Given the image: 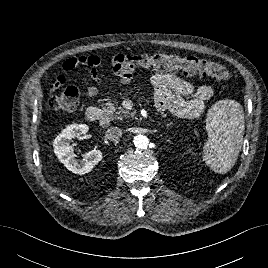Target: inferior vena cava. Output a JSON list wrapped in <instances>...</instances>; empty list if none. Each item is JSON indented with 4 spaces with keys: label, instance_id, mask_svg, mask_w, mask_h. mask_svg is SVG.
I'll return each mask as SVG.
<instances>
[{
    "label": "inferior vena cava",
    "instance_id": "inferior-vena-cava-1",
    "mask_svg": "<svg viewBox=\"0 0 268 268\" xmlns=\"http://www.w3.org/2000/svg\"><path fill=\"white\" fill-rule=\"evenodd\" d=\"M121 136H122V130L118 127H110L105 133V137L113 142L118 141Z\"/></svg>",
    "mask_w": 268,
    "mask_h": 268
}]
</instances>
